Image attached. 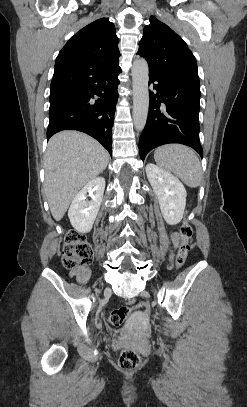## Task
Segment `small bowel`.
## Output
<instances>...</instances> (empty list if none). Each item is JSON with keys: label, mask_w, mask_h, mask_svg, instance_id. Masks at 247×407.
Masks as SVG:
<instances>
[{"label": "small bowel", "mask_w": 247, "mask_h": 407, "mask_svg": "<svg viewBox=\"0 0 247 407\" xmlns=\"http://www.w3.org/2000/svg\"><path fill=\"white\" fill-rule=\"evenodd\" d=\"M172 243L173 246L176 248L179 244V235L177 232L173 233L172 235ZM170 260H173V255H170ZM69 276L76 278V280L78 281V283L80 284H84L86 283L90 276H91V271L88 267L86 266H79L76 268H73L69 271Z\"/></svg>", "instance_id": "c3829d8e"}]
</instances>
